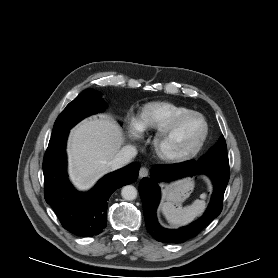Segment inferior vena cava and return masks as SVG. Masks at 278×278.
<instances>
[{"label": "inferior vena cava", "instance_id": "1", "mask_svg": "<svg viewBox=\"0 0 278 278\" xmlns=\"http://www.w3.org/2000/svg\"><path fill=\"white\" fill-rule=\"evenodd\" d=\"M137 154V149L134 146L127 145L121 148V150L115 155L110 162L112 169H118L128 164L134 156Z\"/></svg>", "mask_w": 278, "mask_h": 278}]
</instances>
